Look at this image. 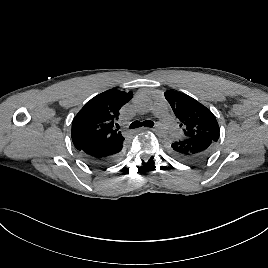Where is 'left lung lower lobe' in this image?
<instances>
[{
  "label": "left lung lower lobe",
  "instance_id": "1",
  "mask_svg": "<svg viewBox=\"0 0 268 268\" xmlns=\"http://www.w3.org/2000/svg\"><path fill=\"white\" fill-rule=\"evenodd\" d=\"M215 146L216 142L210 138H181L167 141L166 150L176 160L194 164L206 160Z\"/></svg>",
  "mask_w": 268,
  "mask_h": 268
}]
</instances>
